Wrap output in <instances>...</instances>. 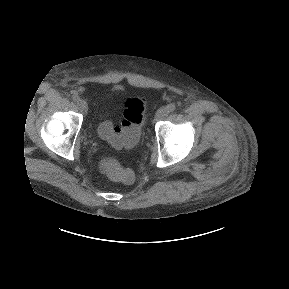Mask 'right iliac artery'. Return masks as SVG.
<instances>
[{"label":"right iliac artery","instance_id":"82829eb1","mask_svg":"<svg viewBox=\"0 0 289 289\" xmlns=\"http://www.w3.org/2000/svg\"><path fill=\"white\" fill-rule=\"evenodd\" d=\"M72 99H73V101H75V102H78V101L80 100L79 96H78L76 93H73V94H72Z\"/></svg>","mask_w":289,"mask_h":289}]
</instances>
